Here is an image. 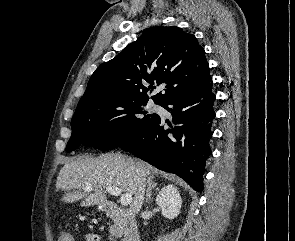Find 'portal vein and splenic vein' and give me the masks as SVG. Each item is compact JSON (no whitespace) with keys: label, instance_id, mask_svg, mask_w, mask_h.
I'll return each instance as SVG.
<instances>
[{"label":"portal vein and splenic vein","instance_id":"portal-vein-and-splenic-vein-1","mask_svg":"<svg viewBox=\"0 0 295 241\" xmlns=\"http://www.w3.org/2000/svg\"><path fill=\"white\" fill-rule=\"evenodd\" d=\"M92 188L91 185H88L85 187V190L88 191ZM106 191L110 193L111 195L119 196L122 193V189L119 187H106ZM132 195L131 194H122L120 197L121 205L128 206L132 202Z\"/></svg>","mask_w":295,"mask_h":241}]
</instances>
